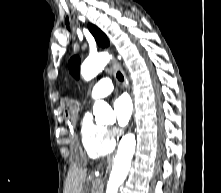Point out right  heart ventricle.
<instances>
[{
  "label": "right heart ventricle",
  "mask_w": 221,
  "mask_h": 193,
  "mask_svg": "<svg viewBox=\"0 0 221 193\" xmlns=\"http://www.w3.org/2000/svg\"><path fill=\"white\" fill-rule=\"evenodd\" d=\"M80 137L82 147L90 158L108 155L114 149V141L108 136L106 127L95 123L88 112L81 120Z\"/></svg>",
  "instance_id": "e07e8e85"
}]
</instances>
